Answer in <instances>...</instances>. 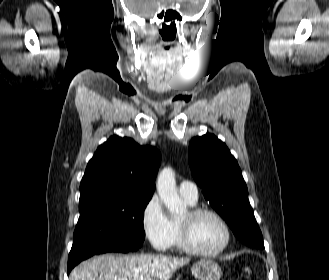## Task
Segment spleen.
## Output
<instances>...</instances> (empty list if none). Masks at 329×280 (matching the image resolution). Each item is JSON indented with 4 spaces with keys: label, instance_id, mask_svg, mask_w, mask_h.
I'll return each mask as SVG.
<instances>
[{
    "label": "spleen",
    "instance_id": "spleen-1",
    "mask_svg": "<svg viewBox=\"0 0 329 280\" xmlns=\"http://www.w3.org/2000/svg\"><path fill=\"white\" fill-rule=\"evenodd\" d=\"M245 271L248 272V274H250V269L248 267L245 268Z\"/></svg>",
    "mask_w": 329,
    "mask_h": 280
}]
</instances>
